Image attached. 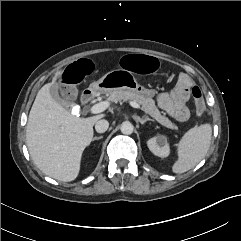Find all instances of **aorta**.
<instances>
[{
    "label": "aorta",
    "mask_w": 241,
    "mask_h": 241,
    "mask_svg": "<svg viewBox=\"0 0 241 241\" xmlns=\"http://www.w3.org/2000/svg\"><path fill=\"white\" fill-rule=\"evenodd\" d=\"M121 132L125 135H130L134 131V126L129 121H125L121 124Z\"/></svg>",
    "instance_id": "obj_1"
}]
</instances>
